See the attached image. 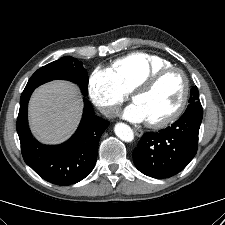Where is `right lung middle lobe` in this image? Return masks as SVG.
<instances>
[{
  "label": "right lung middle lobe",
  "mask_w": 225,
  "mask_h": 225,
  "mask_svg": "<svg viewBox=\"0 0 225 225\" xmlns=\"http://www.w3.org/2000/svg\"><path fill=\"white\" fill-rule=\"evenodd\" d=\"M54 79L78 83L82 93L84 95L88 93L87 71L81 63L70 56H65L38 69L29 79L24 90H34L39 85Z\"/></svg>",
  "instance_id": "1"
}]
</instances>
